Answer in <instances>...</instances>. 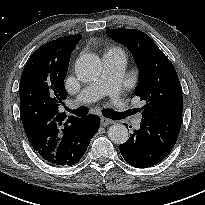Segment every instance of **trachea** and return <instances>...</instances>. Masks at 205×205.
Returning a JSON list of instances; mask_svg holds the SVG:
<instances>
[{
	"instance_id": "trachea-1",
	"label": "trachea",
	"mask_w": 205,
	"mask_h": 205,
	"mask_svg": "<svg viewBox=\"0 0 205 205\" xmlns=\"http://www.w3.org/2000/svg\"><path fill=\"white\" fill-rule=\"evenodd\" d=\"M67 111H69L70 113L75 114L78 117H83V116L88 114V108H86V107H80L76 110L67 109ZM102 114L107 118L116 119V120L117 119H122V118L125 117L124 113L116 112V111H113V110H104L102 112Z\"/></svg>"
}]
</instances>
